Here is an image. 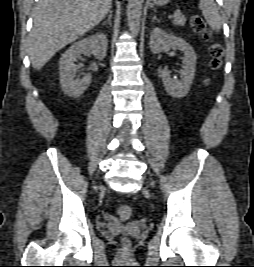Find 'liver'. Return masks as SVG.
Wrapping results in <instances>:
<instances>
[{
	"instance_id": "liver-1",
	"label": "liver",
	"mask_w": 254,
	"mask_h": 267,
	"mask_svg": "<svg viewBox=\"0 0 254 267\" xmlns=\"http://www.w3.org/2000/svg\"><path fill=\"white\" fill-rule=\"evenodd\" d=\"M112 0H39L29 35L32 67L40 70L60 49L98 25Z\"/></svg>"
}]
</instances>
